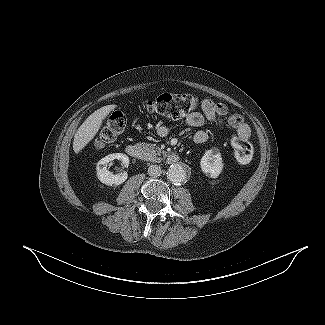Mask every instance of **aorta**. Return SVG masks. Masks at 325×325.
Segmentation results:
<instances>
[{
  "label": "aorta",
  "mask_w": 325,
  "mask_h": 325,
  "mask_svg": "<svg viewBox=\"0 0 325 325\" xmlns=\"http://www.w3.org/2000/svg\"><path fill=\"white\" fill-rule=\"evenodd\" d=\"M167 178L175 184L183 183L187 178L186 169L181 164H173L168 169Z\"/></svg>",
  "instance_id": "aorta-1"
}]
</instances>
